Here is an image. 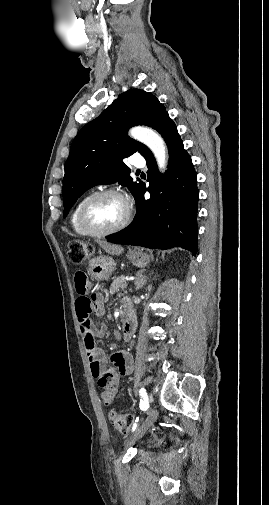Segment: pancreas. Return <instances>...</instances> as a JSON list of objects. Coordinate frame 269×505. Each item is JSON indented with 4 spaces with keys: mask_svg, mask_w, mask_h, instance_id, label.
I'll return each mask as SVG.
<instances>
[{
    "mask_svg": "<svg viewBox=\"0 0 269 505\" xmlns=\"http://www.w3.org/2000/svg\"><path fill=\"white\" fill-rule=\"evenodd\" d=\"M124 284H125V279L124 277H119V278H116L113 283L111 284V287H110V294H114L118 291H120V289L124 288Z\"/></svg>",
    "mask_w": 269,
    "mask_h": 505,
    "instance_id": "pancreas-1",
    "label": "pancreas"
}]
</instances>
